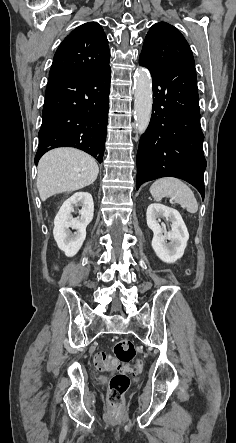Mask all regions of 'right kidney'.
<instances>
[{
  "label": "right kidney",
  "instance_id": "right-kidney-1",
  "mask_svg": "<svg viewBox=\"0 0 236 443\" xmlns=\"http://www.w3.org/2000/svg\"><path fill=\"white\" fill-rule=\"evenodd\" d=\"M76 207L80 217L74 218L72 212ZM94 213L93 198L88 192H77L61 206L54 219L53 235L60 250L72 257L81 248L86 238V227L92 221ZM75 230L74 232L71 231Z\"/></svg>",
  "mask_w": 236,
  "mask_h": 443
}]
</instances>
